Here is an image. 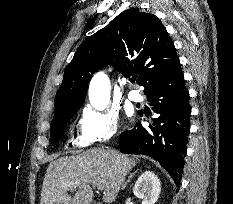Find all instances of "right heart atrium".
I'll return each mask as SVG.
<instances>
[{
  "instance_id": "1",
  "label": "right heart atrium",
  "mask_w": 233,
  "mask_h": 204,
  "mask_svg": "<svg viewBox=\"0 0 233 204\" xmlns=\"http://www.w3.org/2000/svg\"><path fill=\"white\" fill-rule=\"evenodd\" d=\"M118 133L119 118L114 110L85 107L79 120L76 143L80 147H91L113 140Z\"/></svg>"
}]
</instances>
